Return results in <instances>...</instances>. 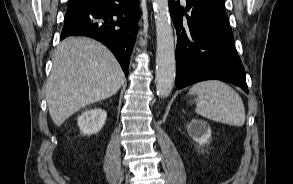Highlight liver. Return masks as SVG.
<instances>
[{"label": "liver", "instance_id": "obj_1", "mask_svg": "<svg viewBox=\"0 0 293 184\" xmlns=\"http://www.w3.org/2000/svg\"><path fill=\"white\" fill-rule=\"evenodd\" d=\"M46 85L49 114L61 126L80 109L116 94L125 75L107 47L87 37L64 39Z\"/></svg>", "mask_w": 293, "mask_h": 184}]
</instances>
